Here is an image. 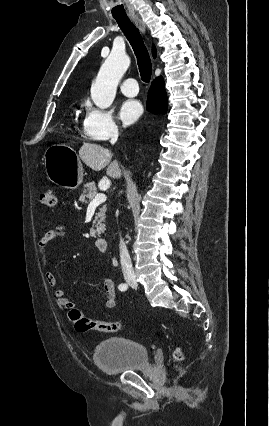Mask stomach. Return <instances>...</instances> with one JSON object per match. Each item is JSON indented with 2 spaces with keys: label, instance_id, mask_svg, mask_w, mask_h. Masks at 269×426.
Wrapping results in <instances>:
<instances>
[{
  "label": "stomach",
  "instance_id": "0dacf381",
  "mask_svg": "<svg viewBox=\"0 0 269 426\" xmlns=\"http://www.w3.org/2000/svg\"><path fill=\"white\" fill-rule=\"evenodd\" d=\"M48 179L66 189H77L83 181V166L76 152L67 145L54 144L44 153Z\"/></svg>",
  "mask_w": 269,
  "mask_h": 426
}]
</instances>
